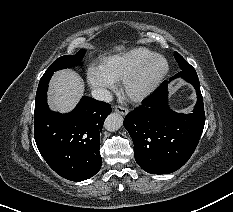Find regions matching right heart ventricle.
Segmentation results:
<instances>
[{
    "label": "right heart ventricle",
    "instance_id": "right-heart-ventricle-1",
    "mask_svg": "<svg viewBox=\"0 0 233 212\" xmlns=\"http://www.w3.org/2000/svg\"><path fill=\"white\" fill-rule=\"evenodd\" d=\"M154 54L156 53L148 48L134 47L122 53L105 57L102 61V67L115 81H119Z\"/></svg>",
    "mask_w": 233,
    "mask_h": 212
}]
</instances>
